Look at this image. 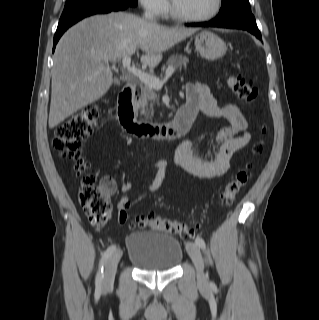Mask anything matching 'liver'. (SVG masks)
Segmentation results:
<instances>
[{"label":"liver","instance_id":"1","mask_svg":"<svg viewBox=\"0 0 319 320\" xmlns=\"http://www.w3.org/2000/svg\"><path fill=\"white\" fill-rule=\"evenodd\" d=\"M196 30L166 27L124 12L94 15L71 27L54 53L49 127L100 99L112 85L110 62L140 48L144 65L155 67L162 52Z\"/></svg>","mask_w":319,"mask_h":320}]
</instances>
